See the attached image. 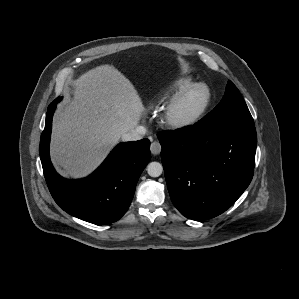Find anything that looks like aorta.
<instances>
[{"instance_id":"aorta-1","label":"aorta","mask_w":299,"mask_h":299,"mask_svg":"<svg viewBox=\"0 0 299 299\" xmlns=\"http://www.w3.org/2000/svg\"><path fill=\"white\" fill-rule=\"evenodd\" d=\"M147 172L151 177H159L163 172V166L159 162H151L147 166Z\"/></svg>"}]
</instances>
